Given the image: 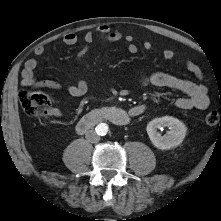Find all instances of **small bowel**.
Returning a JSON list of instances; mask_svg holds the SVG:
<instances>
[{"instance_id": "obj_1", "label": "small bowel", "mask_w": 221, "mask_h": 221, "mask_svg": "<svg viewBox=\"0 0 221 221\" xmlns=\"http://www.w3.org/2000/svg\"><path fill=\"white\" fill-rule=\"evenodd\" d=\"M96 39H101L110 43L119 42L124 39L127 42V51L129 54L135 55L139 51L138 46L135 44L131 36H124L122 33L112 30L107 25H101L94 31H89L84 34L83 45L77 54L78 60H82L86 56L91 44ZM62 42L65 45H75L78 42V37L74 33H66L62 37ZM142 48L146 51H150L153 49V43L150 41H144ZM44 52L45 48L43 46H38L35 49V55L38 57L42 56ZM163 57L167 60H171L175 57V52L172 49L167 48L163 51ZM37 65L38 60L35 57L30 58L25 62L21 73V84L23 86L56 90L62 88V84L56 80H36L35 69ZM185 67L188 72L195 76V78L199 80L203 78L201 69L193 61L185 60ZM142 83L156 87H166L183 94V96L179 97L175 102L176 107L181 110H205L210 104L207 88L202 83H196L164 72H153L144 77ZM88 88V82L84 78H81L77 83L68 85L67 91L71 96L79 97L86 94ZM135 109L136 106L131 108L130 112L135 114Z\"/></svg>"}]
</instances>
